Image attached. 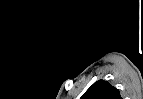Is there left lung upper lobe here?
I'll use <instances>...</instances> for the list:
<instances>
[{"label":"left lung upper lobe","instance_id":"left-lung-upper-lobe-1","mask_svg":"<svg viewBox=\"0 0 143 99\" xmlns=\"http://www.w3.org/2000/svg\"><path fill=\"white\" fill-rule=\"evenodd\" d=\"M81 99H121L120 92L108 81L98 80L81 97Z\"/></svg>","mask_w":143,"mask_h":99}]
</instances>
